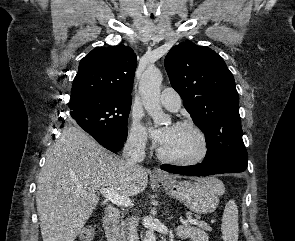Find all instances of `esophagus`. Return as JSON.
Returning <instances> with one entry per match:
<instances>
[{
    "instance_id": "obj_1",
    "label": "esophagus",
    "mask_w": 295,
    "mask_h": 241,
    "mask_svg": "<svg viewBox=\"0 0 295 241\" xmlns=\"http://www.w3.org/2000/svg\"><path fill=\"white\" fill-rule=\"evenodd\" d=\"M153 176L159 179H170V177L167 174H165L158 168H155L153 170Z\"/></svg>"
}]
</instances>
